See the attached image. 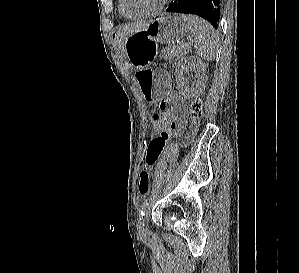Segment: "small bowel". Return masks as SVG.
<instances>
[{
	"label": "small bowel",
	"mask_w": 299,
	"mask_h": 273,
	"mask_svg": "<svg viewBox=\"0 0 299 273\" xmlns=\"http://www.w3.org/2000/svg\"><path fill=\"white\" fill-rule=\"evenodd\" d=\"M163 112L171 116L167 129L158 136H152L149 143L144 147L146 169L149 171L158 161L171 132H181L187 123L185 100L177 94H171L167 103H161Z\"/></svg>",
	"instance_id": "obj_1"
}]
</instances>
